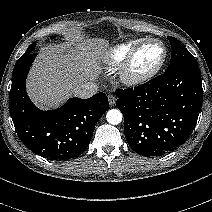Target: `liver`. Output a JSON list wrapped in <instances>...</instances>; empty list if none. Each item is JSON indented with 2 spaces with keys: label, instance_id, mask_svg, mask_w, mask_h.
<instances>
[{
  "label": "liver",
  "instance_id": "6515ba94",
  "mask_svg": "<svg viewBox=\"0 0 212 212\" xmlns=\"http://www.w3.org/2000/svg\"><path fill=\"white\" fill-rule=\"evenodd\" d=\"M105 47L104 40L78 39L41 49L27 82L32 101L42 109L54 108L74 94L75 88L94 81Z\"/></svg>",
  "mask_w": 212,
  "mask_h": 212
}]
</instances>
